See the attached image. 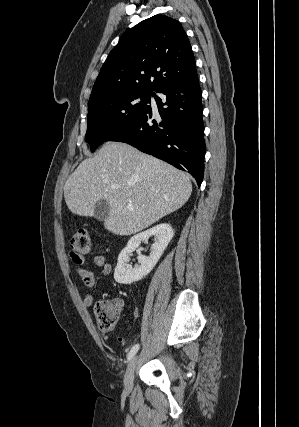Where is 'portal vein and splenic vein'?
I'll return each instance as SVG.
<instances>
[{"instance_id":"portal-vein-and-splenic-vein-1","label":"portal vein and splenic vein","mask_w":299,"mask_h":427,"mask_svg":"<svg viewBox=\"0 0 299 427\" xmlns=\"http://www.w3.org/2000/svg\"><path fill=\"white\" fill-rule=\"evenodd\" d=\"M113 187H115V186H113ZM127 207L130 208V209H133V206L131 204H128Z\"/></svg>"}]
</instances>
